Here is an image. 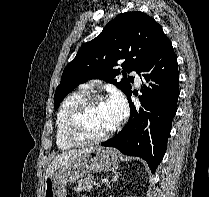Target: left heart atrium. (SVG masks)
Here are the masks:
<instances>
[{"label": "left heart atrium", "mask_w": 209, "mask_h": 197, "mask_svg": "<svg viewBox=\"0 0 209 197\" xmlns=\"http://www.w3.org/2000/svg\"><path fill=\"white\" fill-rule=\"evenodd\" d=\"M105 107L108 110L114 125L118 124L127 112L125 100L120 94H113L105 102Z\"/></svg>", "instance_id": "1"}]
</instances>
